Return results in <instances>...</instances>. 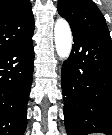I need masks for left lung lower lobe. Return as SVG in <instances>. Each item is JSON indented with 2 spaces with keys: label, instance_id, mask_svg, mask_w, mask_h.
<instances>
[{
  "label": "left lung lower lobe",
  "instance_id": "1",
  "mask_svg": "<svg viewBox=\"0 0 112 135\" xmlns=\"http://www.w3.org/2000/svg\"><path fill=\"white\" fill-rule=\"evenodd\" d=\"M73 47L61 71L68 135H112L110 37L72 31Z\"/></svg>",
  "mask_w": 112,
  "mask_h": 135
}]
</instances>
